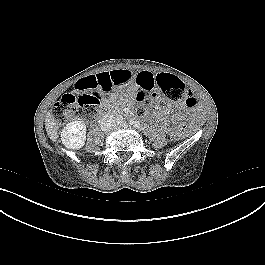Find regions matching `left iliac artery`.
<instances>
[{
	"label": "left iliac artery",
	"mask_w": 265,
	"mask_h": 265,
	"mask_svg": "<svg viewBox=\"0 0 265 265\" xmlns=\"http://www.w3.org/2000/svg\"><path fill=\"white\" fill-rule=\"evenodd\" d=\"M129 123H130L131 125H133L134 127L138 128V129H142L141 124H140L139 121H137V120L130 119V120H129Z\"/></svg>",
	"instance_id": "1"
}]
</instances>
